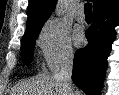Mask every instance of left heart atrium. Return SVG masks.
<instances>
[{"mask_svg":"<svg viewBox=\"0 0 119 95\" xmlns=\"http://www.w3.org/2000/svg\"><path fill=\"white\" fill-rule=\"evenodd\" d=\"M84 36L80 30H76L74 33V42L76 45H81L83 43Z\"/></svg>","mask_w":119,"mask_h":95,"instance_id":"1","label":"left heart atrium"}]
</instances>
